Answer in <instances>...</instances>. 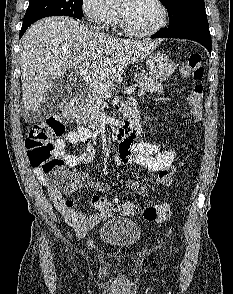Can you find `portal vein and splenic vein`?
I'll return each mask as SVG.
<instances>
[{
	"label": "portal vein and splenic vein",
	"mask_w": 233,
	"mask_h": 294,
	"mask_svg": "<svg viewBox=\"0 0 233 294\" xmlns=\"http://www.w3.org/2000/svg\"><path fill=\"white\" fill-rule=\"evenodd\" d=\"M90 63L85 61L81 63L79 66L80 75L82 76L83 80L90 85L97 93L103 94L106 97H111L112 93L109 90V87L102 83L100 80L96 79L95 76H92L88 73ZM136 84L126 88L124 92L128 95L132 94L135 91Z\"/></svg>",
	"instance_id": "1"
}]
</instances>
